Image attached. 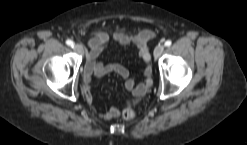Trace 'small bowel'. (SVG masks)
<instances>
[{"mask_svg":"<svg viewBox=\"0 0 247 145\" xmlns=\"http://www.w3.org/2000/svg\"><path fill=\"white\" fill-rule=\"evenodd\" d=\"M152 37L153 33L149 30H142L134 34H127L125 31L120 30L111 34L112 41L116 45H133L138 49V55L144 66V80L137 84L136 80L130 76L129 70L123 65L105 64L98 61L99 56L110 43L109 34L104 31H96L92 35L89 41L90 51L82 81V93L89 104L93 101V91L90 87L92 76L100 79L111 73L118 74L125 80V88L131 94V97L124 103V107L130 108L139 103L152 85V66L148 51V42ZM96 111L106 119L120 116V110L116 107H111L106 113H101L98 108Z\"/></svg>","mask_w":247,"mask_h":145,"instance_id":"1","label":"small bowel"}]
</instances>
